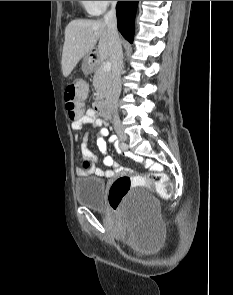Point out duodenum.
Here are the masks:
<instances>
[{
    "mask_svg": "<svg viewBox=\"0 0 233 295\" xmlns=\"http://www.w3.org/2000/svg\"><path fill=\"white\" fill-rule=\"evenodd\" d=\"M94 110L97 112L98 115L108 118L110 116V109L108 102L106 100H98L94 104Z\"/></svg>",
    "mask_w": 233,
    "mask_h": 295,
    "instance_id": "410a0bca",
    "label": "duodenum"
}]
</instances>
